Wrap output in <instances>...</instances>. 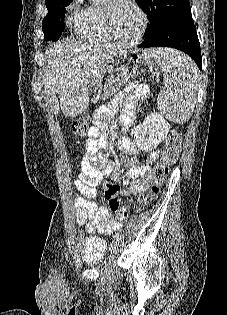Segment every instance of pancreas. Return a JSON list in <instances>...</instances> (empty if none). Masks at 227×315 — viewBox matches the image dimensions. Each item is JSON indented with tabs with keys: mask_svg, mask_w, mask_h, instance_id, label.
Wrapping results in <instances>:
<instances>
[{
	"mask_svg": "<svg viewBox=\"0 0 227 315\" xmlns=\"http://www.w3.org/2000/svg\"><path fill=\"white\" fill-rule=\"evenodd\" d=\"M136 70L137 69L134 68L133 71L130 73L127 70H125L116 76H114V75L108 76V78L104 84L103 96L111 97L113 94H115L117 91H119L120 87L122 85L126 84L131 79L135 78Z\"/></svg>",
	"mask_w": 227,
	"mask_h": 315,
	"instance_id": "cf45deb5",
	"label": "pancreas"
}]
</instances>
